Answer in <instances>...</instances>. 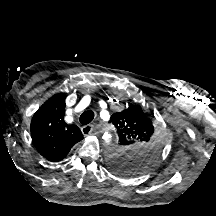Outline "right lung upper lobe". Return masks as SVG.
<instances>
[{
	"mask_svg": "<svg viewBox=\"0 0 216 216\" xmlns=\"http://www.w3.org/2000/svg\"><path fill=\"white\" fill-rule=\"evenodd\" d=\"M65 94L47 100L33 115L31 137L38 152L52 162L66 157L70 149L83 139L76 125L64 121Z\"/></svg>",
	"mask_w": 216,
	"mask_h": 216,
	"instance_id": "1",
	"label": "right lung upper lobe"
}]
</instances>
